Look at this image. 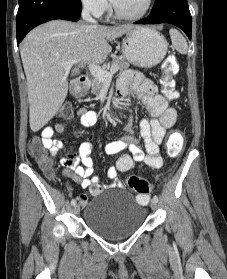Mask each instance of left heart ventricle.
Masks as SVG:
<instances>
[{
	"instance_id": "left-heart-ventricle-1",
	"label": "left heart ventricle",
	"mask_w": 227,
	"mask_h": 279,
	"mask_svg": "<svg viewBox=\"0 0 227 279\" xmlns=\"http://www.w3.org/2000/svg\"><path fill=\"white\" fill-rule=\"evenodd\" d=\"M113 3L124 14H137L144 8L146 0H114Z\"/></svg>"
}]
</instances>
